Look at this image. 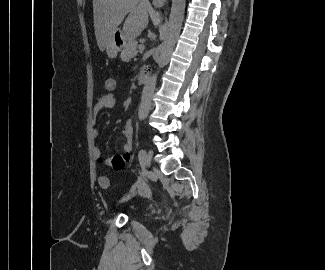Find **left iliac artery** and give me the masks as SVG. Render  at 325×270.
<instances>
[{"label":"left iliac artery","instance_id":"1","mask_svg":"<svg viewBox=\"0 0 325 270\" xmlns=\"http://www.w3.org/2000/svg\"><path fill=\"white\" fill-rule=\"evenodd\" d=\"M145 155H146V151L144 149H141L139 151V153H138V157H139L140 162L144 161Z\"/></svg>","mask_w":325,"mask_h":270}]
</instances>
